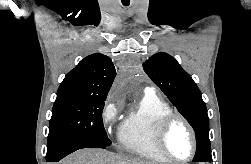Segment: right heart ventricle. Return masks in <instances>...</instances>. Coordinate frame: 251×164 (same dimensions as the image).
Here are the masks:
<instances>
[{
  "label": "right heart ventricle",
  "instance_id": "e07e8e85",
  "mask_svg": "<svg viewBox=\"0 0 251 164\" xmlns=\"http://www.w3.org/2000/svg\"><path fill=\"white\" fill-rule=\"evenodd\" d=\"M171 106L154 93H145L124 118L118 133L121 148L138 157L159 163L167 160L156 144L160 120L172 113Z\"/></svg>",
  "mask_w": 251,
  "mask_h": 164
}]
</instances>
